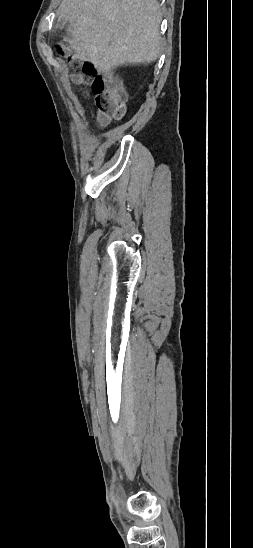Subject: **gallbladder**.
<instances>
[{
    "label": "gallbladder",
    "instance_id": "1",
    "mask_svg": "<svg viewBox=\"0 0 253 548\" xmlns=\"http://www.w3.org/2000/svg\"><path fill=\"white\" fill-rule=\"evenodd\" d=\"M63 22H65V19H59L58 20V25L61 26L63 24Z\"/></svg>",
    "mask_w": 253,
    "mask_h": 548
}]
</instances>
